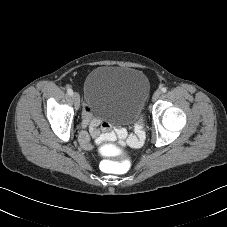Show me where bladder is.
Returning <instances> with one entry per match:
<instances>
[{"label":"bladder","instance_id":"bladder-1","mask_svg":"<svg viewBox=\"0 0 227 227\" xmlns=\"http://www.w3.org/2000/svg\"><path fill=\"white\" fill-rule=\"evenodd\" d=\"M84 90L93 114L123 123L140 117L149 83L145 75L135 68L102 65L89 74Z\"/></svg>","mask_w":227,"mask_h":227}]
</instances>
